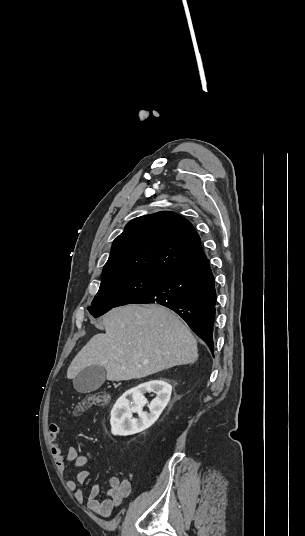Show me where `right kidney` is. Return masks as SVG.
I'll list each match as a JSON object with an SVG mask.
<instances>
[{
  "label": "right kidney",
  "mask_w": 305,
  "mask_h": 536,
  "mask_svg": "<svg viewBox=\"0 0 305 536\" xmlns=\"http://www.w3.org/2000/svg\"><path fill=\"white\" fill-rule=\"evenodd\" d=\"M129 392H131L132 400H127L128 394L125 392L117 400L111 412L110 424L114 436H132V434H138V432L150 428L166 408L170 400L172 386L164 378H160V380L139 384L137 388H132ZM146 392H156L157 394V398H154L148 406L150 414L142 412L144 404H148L143 396ZM132 414H138L139 420L132 418Z\"/></svg>",
  "instance_id": "ca27d5eb"
}]
</instances>
